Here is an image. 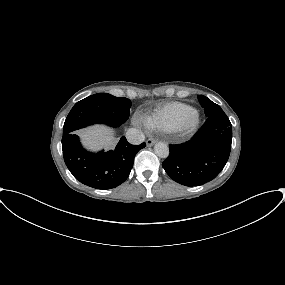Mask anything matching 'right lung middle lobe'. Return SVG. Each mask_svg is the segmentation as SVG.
Listing matches in <instances>:
<instances>
[{
    "label": "right lung middle lobe",
    "instance_id": "obj_1",
    "mask_svg": "<svg viewBox=\"0 0 285 285\" xmlns=\"http://www.w3.org/2000/svg\"><path fill=\"white\" fill-rule=\"evenodd\" d=\"M131 101L108 93L91 95L77 102L68 114L63 135L96 123H104L118 127L127 121L130 114Z\"/></svg>",
    "mask_w": 285,
    "mask_h": 285
}]
</instances>
